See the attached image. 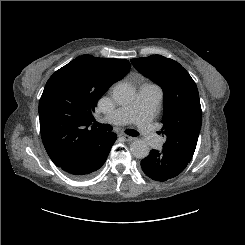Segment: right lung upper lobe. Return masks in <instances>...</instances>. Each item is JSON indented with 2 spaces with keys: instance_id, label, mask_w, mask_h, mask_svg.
<instances>
[{
  "instance_id": "obj_1",
  "label": "right lung upper lobe",
  "mask_w": 245,
  "mask_h": 245,
  "mask_svg": "<svg viewBox=\"0 0 245 245\" xmlns=\"http://www.w3.org/2000/svg\"><path fill=\"white\" fill-rule=\"evenodd\" d=\"M130 68L124 59L82 55L49 78L39 102L40 132L56 166L102 132L95 126L90 128L92 112L109 87Z\"/></svg>"
}]
</instances>
